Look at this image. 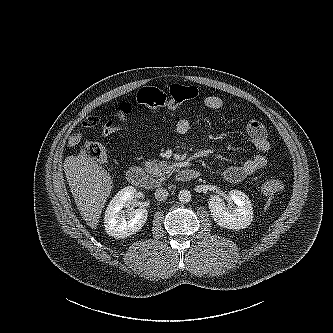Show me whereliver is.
I'll use <instances>...</instances> for the list:
<instances>
[{
  "label": "liver",
  "instance_id": "1",
  "mask_svg": "<svg viewBox=\"0 0 333 333\" xmlns=\"http://www.w3.org/2000/svg\"><path fill=\"white\" fill-rule=\"evenodd\" d=\"M63 167L82 218L89 227L96 229L113 188L111 175L85 152L66 157Z\"/></svg>",
  "mask_w": 333,
  "mask_h": 333
}]
</instances>
